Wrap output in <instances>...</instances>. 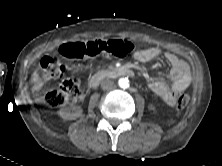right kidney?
I'll return each instance as SVG.
<instances>
[{"label":"right kidney","instance_id":"obj_1","mask_svg":"<svg viewBox=\"0 0 222 166\" xmlns=\"http://www.w3.org/2000/svg\"><path fill=\"white\" fill-rule=\"evenodd\" d=\"M83 110L81 107L75 106L72 108V112H70L67 108L65 109H60L58 111V114L62 117V119L66 121H72L80 116H82Z\"/></svg>","mask_w":222,"mask_h":166}]
</instances>
